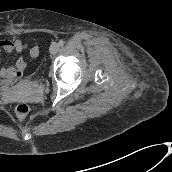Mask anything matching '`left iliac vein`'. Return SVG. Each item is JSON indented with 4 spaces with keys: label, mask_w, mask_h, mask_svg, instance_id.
<instances>
[{
    "label": "left iliac vein",
    "mask_w": 172,
    "mask_h": 172,
    "mask_svg": "<svg viewBox=\"0 0 172 172\" xmlns=\"http://www.w3.org/2000/svg\"><path fill=\"white\" fill-rule=\"evenodd\" d=\"M49 50L51 54H56L59 50V45L57 43H52Z\"/></svg>",
    "instance_id": "obj_1"
}]
</instances>
